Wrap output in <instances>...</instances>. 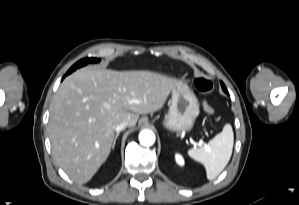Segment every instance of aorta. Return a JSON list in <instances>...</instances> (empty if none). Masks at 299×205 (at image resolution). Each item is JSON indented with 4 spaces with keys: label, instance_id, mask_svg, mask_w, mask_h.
I'll return each mask as SVG.
<instances>
[{
    "label": "aorta",
    "instance_id": "762f6f07",
    "mask_svg": "<svg viewBox=\"0 0 299 205\" xmlns=\"http://www.w3.org/2000/svg\"><path fill=\"white\" fill-rule=\"evenodd\" d=\"M155 139V134L151 130H142L139 134V141L144 146L153 145Z\"/></svg>",
    "mask_w": 299,
    "mask_h": 205
}]
</instances>
